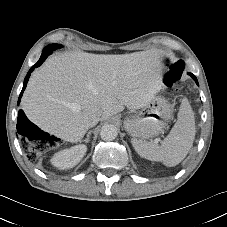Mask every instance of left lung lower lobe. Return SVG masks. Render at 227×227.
I'll list each match as a JSON object with an SVG mask.
<instances>
[{
	"mask_svg": "<svg viewBox=\"0 0 227 227\" xmlns=\"http://www.w3.org/2000/svg\"><path fill=\"white\" fill-rule=\"evenodd\" d=\"M190 76L193 77V78H195V81L198 84V81H197L196 77L192 73L190 74Z\"/></svg>",
	"mask_w": 227,
	"mask_h": 227,
	"instance_id": "obj_1",
	"label": "left lung lower lobe"
}]
</instances>
